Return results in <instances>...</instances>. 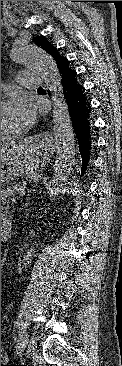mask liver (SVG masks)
<instances>
[{
	"label": "liver",
	"instance_id": "6515ba94",
	"mask_svg": "<svg viewBox=\"0 0 122 366\" xmlns=\"http://www.w3.org/2000/svg\"><path fill=\"white\" fill-rule=\"evenodd\" d=\"M4 156H5V153H2V152H1V157H4Z\"/></svg>",
	"mask_w": 122,
	"mask_h": 366
}]
</instances>
